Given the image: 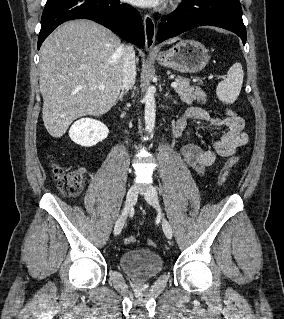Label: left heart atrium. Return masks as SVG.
<instances>
[{
	"instance_id": "left-heart-atrium-1",
	"label": "left heart atrium",
	"mask_w": 284,
	"mask_h": 319,
	"mask_svg": "<svg viewBox=\"0 0 284 319\" xmlns=\"http://www.w3.org/2000/svg\"><path fill=\"white\" fill-rule=\"evenodd\" d=\"M139 7H154L160 5L163 0H125Z\"/></svg>"
}]
</instances>
